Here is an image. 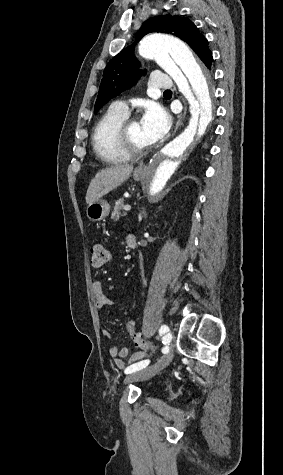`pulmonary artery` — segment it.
<instances>
[{
	"label": "pulmonary artery",
	"instance_id": "pulmonary-artery-1",
	"mask_svg": "<svg viewBox=\"0 0 283 475\" xmlns=\"http://www.w3.org/2000/svg\"><path fill=\"white\" fill-rule=\"evenodd\" d=\"M155 87L157 89H172L173 81L172 80H157L155 82ZM113 104L122 109H127V105L123 101H117V102H114Z\"/></svg>",
	"mask_w": 283,
	"mask_h": 475
}]
</instances>
